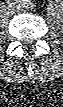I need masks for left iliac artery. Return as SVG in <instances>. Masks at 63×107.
Returning <instances> with one entry per match:
<instances>
[{
  "mask_svg": "<svg viewBox=\"0 0 63 107\" xmlns=\"http://www.w3.org/2000/svg\"><path fill=\"white\" fill-rule=\"evenodd\" d=\"M20 4L26 8H31V9H36V5H34L33 3H31L30 0H21L19 1Z\"/></svg>",
  "mask_w": 63,
  "mask_h": 107,
  "instance_id": "44dca946",
  "label": "left iliac artery"
}]
</instances>
